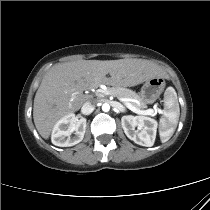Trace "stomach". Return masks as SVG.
I'll use <instances>...</instances> for the list:
<instances>
[{
  "instance_id": "stomach-1",
  "label": "stomach",
  "mask_w": 210,
  "mask_h": 210,
  "mask_svg": "<svg viewBox=\"0 0 210 210\" xmlns=\"http://www.w3.org/2000/svg\"><path fill=\"white\" fill-rule=\"evenodd\" d=\"M165 88V81L161 77H154L146 80L140 92L141 101L144 104L154 103Z\"/></svg>"
}]
</instances>
